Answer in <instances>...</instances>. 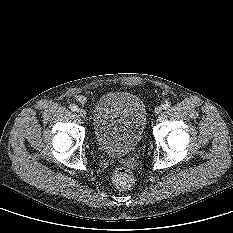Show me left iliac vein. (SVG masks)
Listing matches in <instances>:
<instances>
[{
  "label": "left iliac vein",
  "instance_id": "1",
  "mask_svg": "<svg viewBox=\"0 0 233 233\" xmlns=\"http://www.w3.org/2000/svg\"><path fill=\"white\" fill-rule=\"evenodd\" d=\"M162 110H163V108L161 106H157L154 109V114L158 115V114H160L162 112Z\"/></svg>",
  "mask_w": 233,
  "mask_h": 233
}]
</instances>
